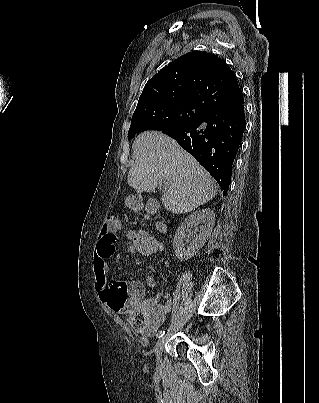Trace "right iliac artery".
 Instances as JSON below:
<instances>
[{
    "mask_svg": "<svg viewBox=\"0 0 319 403\" xmlns=\"http://www.w3.org/2000/svg\"><path fill=\"white\" fill-rule=\"evenodd\" d=\"M164 334H165V330H160V331L156 334V337H157V338H161V337L164 336Z\"/></svg>",
    "mask_w": 319,
    "mask_h": 403,
    "instance_id": "obj_1",
    "label": "right iliac artery"
}]
</instances>
